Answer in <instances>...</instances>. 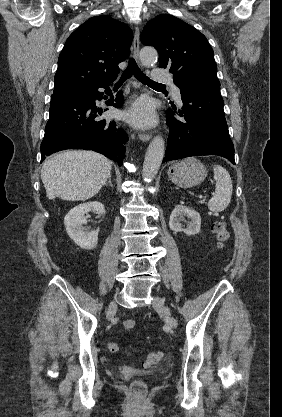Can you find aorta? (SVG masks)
<instances>
[{
    "mask_svg": "<svg viewBox=\"0 0 282 417\" xmlns=\"http://www.w3.org/2000/svg\"><path fill=\"white\" fill-rule=\"evenodd\" d=\"M140 60L144 66H155L158 60V52L153 46H143L140 50ZM165 150V140L162 136H155L151 140L144 158L142 176L145 182H150L155 178L159 166L163 160Z\"/></svg>",
    "mask_w": 282,
    "mask_h": 417,
    "instance_id": "aorta-1",
    "label": "aorta"
}]
</instances>
